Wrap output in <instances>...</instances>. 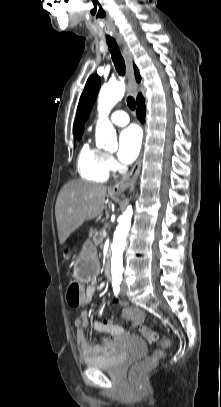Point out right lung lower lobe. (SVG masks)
Returning a JSON list of instances; mask_svg holds the SVG:
<instances>
[{
    "instance_id": "1",
    "label": "right lung lower lobe",
    "mask_w": 221,
    "mask_h": 407,
    "mask_svg": "<svg viewBox=\"0 0 221 407\" xmlns=\"http://www.w3.org/2000/svg\"><path fill=\"white\" fill-rule=\"evenodd\" d=\"M137 116L141 120V122L144 121L145 118V101L142 98L137 100Z\"/></svg>"
}]
</instances>
